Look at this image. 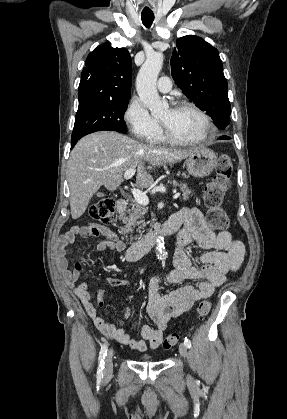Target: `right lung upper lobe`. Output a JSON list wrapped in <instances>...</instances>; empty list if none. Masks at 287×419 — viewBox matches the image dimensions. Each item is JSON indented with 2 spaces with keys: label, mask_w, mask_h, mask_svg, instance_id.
Segmentation results:
<instances>
[{
  "label": "right lung upper lobe",
  "mask_w": 287,
  "mask_h": 419,
  "mask_svg": "<svg viewBox=\"0 0 287 419\" xmlns=\"http://www.w3.org/2000/svg\"><path fill=\"white\" fill-rule=\"evenodd\" d=\"M131 77V57L125 48L98 46L88 55L81 74L78 109L129 99Z\"/></svg>",
  "instance_id": "right-lung-upper-lobe-1"
}]
</instances>
